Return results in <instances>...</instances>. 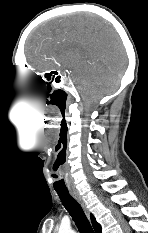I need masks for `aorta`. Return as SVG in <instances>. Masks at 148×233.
Returning <instances> with one entry per match:
<instances>
[{
	"mask_svg": "<svg viewBox=\"0 0 148 233\" xmlns=\"http://www.w3.org/2000/svg\"><path fill=\"white\" fill-rule=\"evenodd\" d=\"M68 233H75V232L70 230V231H68Z\"/></svg>",
	"mask_w": 148,
	"mask_h": 233,
	"instance_id": "aorta-1",
	"label": "aorta"
}]
</instances>
